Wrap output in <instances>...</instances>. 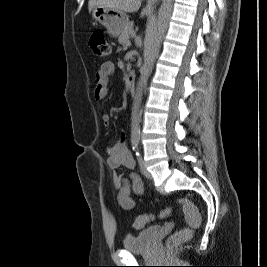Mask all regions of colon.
<instances>
[{"instance_id": "5ec220e1", "label": "colon", "mask_w": 267, "mask_h": 267, "mask_svg": "<svg viewBox=\"0 0 267 267\" xmlns=\"http://www.w3.org/2000/svg\"><path fill=\"white\" fill-rule=\"evenodd\" d=\"M89 46L95 55L99 57H105L110 54L111 48L109 43L105 40L101 32H95L89 39ZM177 204L182 206L187 225L177 231L167 239V245L169 247L176 246L182 242L189 240L192 236L193 230L198 228L201 223V215L198 208L188 198L177 199ZM171 212L170 208H166L159 213L160 218L168 216ZM155 218L152 214H143L135 218L133 226L136 229L143 228L146 224Z\"/></svg>"}]
</instances>
